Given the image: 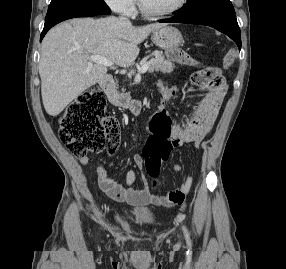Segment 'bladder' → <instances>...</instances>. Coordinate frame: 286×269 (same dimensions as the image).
Instances as JSON below:
<instances>
[{
	"label": "bladder",
	"mask_w": 286,
	"mask_h": 269,
	"mask_svg": "<svg viewBox=\"0 0 286 269\" xmlns=\"http://www.w3.org/2000/svg\"><path fill=\"white\" fill-rule=\"evenodd\" d=\"M131 217L135 222L147 225L153 224L156 220L154 211L146 207L132 209Z\"/></svg>",
	"instance_id": "bladder-1"
}]
</instances>
